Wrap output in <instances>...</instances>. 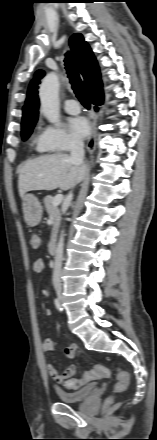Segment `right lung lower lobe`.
I'll return each instance as SVG.
<instances>
[{"mask_svg":"<svg viewBox=\"0 0 157 440\" xmlns=\"http://www.w3.org/2000/svg\"><path fill=\"white\" fill-rule=\"evenodd\" d=\"M91 100H92L93 104L98 106L103 103V96H97V97L91 98ZM95 110H98V108L95 107Z\"/></svg>","mask_w":157,"mask_h":440,"instance_id":"obj_1","label":"right lung lower lobe"}]
</instances>
